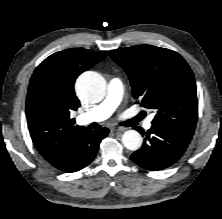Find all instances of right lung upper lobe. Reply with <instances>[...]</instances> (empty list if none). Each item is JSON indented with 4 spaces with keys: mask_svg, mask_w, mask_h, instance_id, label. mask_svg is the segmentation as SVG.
<instances>
[{
    "mask_svg": "<svg viewBox=\"0 0 222 219\" xmlns=\"http://www.w3.org/2000/svg\"><path fill=\"white\" fill-rule=\"evenodd\" d=\"M107 56L73 48L52 54L34 71L26 99V116L32 141L54 167L70 154L88 130L75 126L70 112L80 106L74 92L76 78Z\"/></svg>",
    "mask_w": 222,
    "mask_h": 219,
    "instance_id": "right-lung-upper-lobe-1",
    "label": "right lung upper lobe"
}]
</instances>
